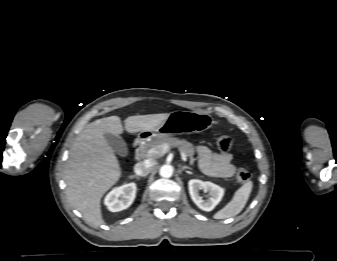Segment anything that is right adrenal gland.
Wrapping results in <instances>:
<instances>
[{
  "label": "right adrenal gland",
  "instance_id": "1",
  "mask_svg": "<svg viewBox=\"0 0 337 261\" xmlns=\"http://www.w3.org/2000/svg\"><path fill=\"white\" fill-rule=\"evenodd\" d=\"M130 178H137V179H140V177L137 176V175H132V176H130Z\"/></svg>",
  "mask_w": 337,
  "mask_h": 261
}]
</instances>
